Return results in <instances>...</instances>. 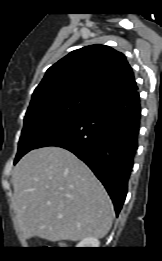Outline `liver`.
<instances>
[{
	"mask_svg": "<svg viewBox=\"0 0 162 261\" xmlns=\"http://www.w3.org/2000/svg\"><path fill=\"white\" fill-rule=\"evenodd\" d=\"M12 184L13 207L25 239L103 238L112 226L114 209L107 192L68 150H32L16 165Z\"/></svg>",
	"mask_w": 162,
	"mask_h": 261,
	"instance_id": "6515ba94",
	"label": "liver"
}]
</instances>
